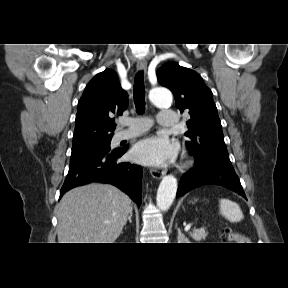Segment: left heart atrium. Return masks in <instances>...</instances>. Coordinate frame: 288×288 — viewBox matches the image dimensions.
Wrapping results in <instances>:
<instances>
[{
    "label": "left heart atrium",
    "mask_w": 288,
    "mask_h": 288,
    "mask_svg": "<svg viewBox=\"0 0 288 288\" xmlns=\"http://www.w3.org/2000/svg\"><path fill=\"white\" fill-rule=\"evenodd\" d=\"M176 153L175 145L163 135H151L135 144L133 158L149 165H162L169 162Z\"/></svg>",
    "instance_id": "obj_1"
}]
</instances>
